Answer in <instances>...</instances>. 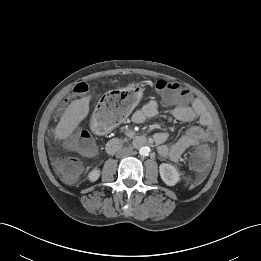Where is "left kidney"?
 Instances as JSON below:
<instances>
[{
	"instance_id": "obj_1",
	"label": "left kidney",
	"mask_w": 261,
	"mask_h": 261,
	"mask_svg": "<svg viewBox=\"0 0 261 261\" xmlns=\"http://www.w3.org/2000/svg\"><path fill=\"white\" fill-rule=\"evenodd\" d=\"M159 172L161 179L168 186H174L180 181V174L178 170L171 164H160Z\"/></svg>"
}]
</instances>
